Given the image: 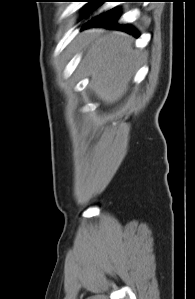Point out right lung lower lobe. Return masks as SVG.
<instances>
[{
	"label": "right lung lower lobe",
	"mask_w": 195,
	"mask_h": 299,
	"mask_svg": "<svg viewBox=\"0 0 195 299\" xmlns=\"http://www.w3.org/2000/svg\"><path fill=\"white\" fill-rule=\"evenodd\" d=\"M119 17L118 9H111L109 11L103 12L96 17L92 18L89 22H87L83 28L91 27V26H102L120 29L126 32H129L135 36H138V33L129 25H119L117 24V20Z\"/></svg>",
	"instance_id": "right-lung-lower-lobe-1"
}]
</instances>
